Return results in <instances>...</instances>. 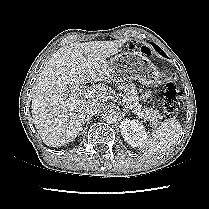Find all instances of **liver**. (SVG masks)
Masks as SVG:
<instances>
[{
	"mask_svg": "<svg viewBox=\"0 0 209 209\" xmlns=\"http://www.w3.org/2000/svg\"><path fill=\"white\" fill-rule=\"evenodd\" d=\"M126 42L127 39L72 43L53 54L35 84L31 106L33 123L46 145L60 147L73 141L85 121L86 104L112 98L114 91L98 84L94 99H80V85L90 80L114 81V67L108 58Z\"/></svg>",
	"mask_w": 209,
	"mask_h": 209,
	"instance_id": "liver-1",
	"label": "liver"
}]
</instances>
